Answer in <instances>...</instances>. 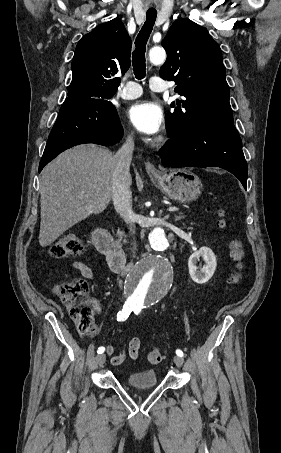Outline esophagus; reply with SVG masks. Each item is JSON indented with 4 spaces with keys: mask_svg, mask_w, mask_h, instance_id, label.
Segmentation results:
<instances>
[{
    "mask_svg": "<svg viewBox=\"0 0 281 453\" xmlns=\"http://www.w3.org/2000/svg\"><path fill=\"white\" fill-rule=\"evenodd\" d=\"M145 168L148 174L156 175L158 173L157 168L150 162L145 163Z\"/></svg>",
    "mask_w": 281,
    "mask_h": 453,
    "instance_id": "obj_1",
    "label": "esophagus"
}]
</instances>
